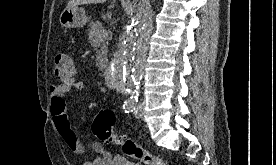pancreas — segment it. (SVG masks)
Segmentation results:
<instances>
[{"label":"pancreas","mask_w":276,"mask_h":165,"mask_svg":"<svg viewBox=\"0 0 276 165\" xmlns=\"http://www.w3.org/2000/svg\"><path fill=\"white\" fill-rule=\"evenodd\" d=\"M103 28V24L100 21H92L89 25L88 32V41L96 52V62L100 71H103L106 68L107 63L108 38L99 37Z\"/></svg>","instance_id":"1"}]
</instances>
